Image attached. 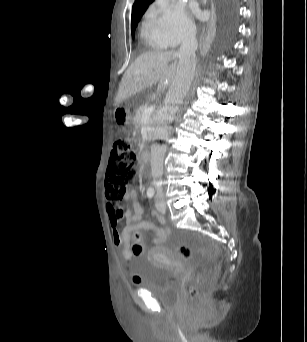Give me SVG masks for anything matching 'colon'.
Wrapping results in <instances>:
<instances>
[{"label": "colon", "instance_id": "colon-1", "mask_svg": "<svg viewBox=\"0 0 307 342\" xmlns=\"http://www.w3.org/2000/svg\"><path fill=\"white\" fill-rule=\"evenodd\" d=\"M137 174V157L127 139H122L114 143L110 164L106 171V188L105 192L111 201V207H118L123 202L127 187L130 186ZM105 201V200H104ZM130 248L133 256H141L142 242L140 232H133ZM176 252L183 259L191 257V250L188 246H177ZM132 283L139 285L141 278L139 276L132 277ZM188 294L185 295L187 307H200V295L203 294L204 281H200L197 277L196 281H189Z\"/></svg>", "mask_w": 307, "mask_h": 342}]
</instances>
